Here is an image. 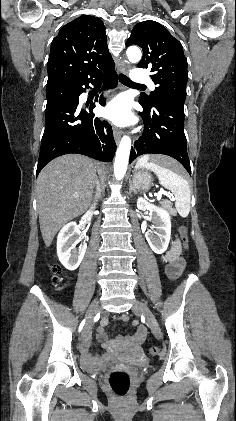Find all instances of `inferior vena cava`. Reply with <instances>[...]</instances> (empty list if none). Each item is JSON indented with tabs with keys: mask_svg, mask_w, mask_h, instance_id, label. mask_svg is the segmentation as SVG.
<instances>
[{
	"mask_svg": "<svg viewBox=\"0 0 236 421\" xmlns=\"http://www.w3.org/2000/svg\"><path fill=\"white\" fill-rule=\"evenodd\" d=\"M98 192H99V180H98V184H96V190H95V194L93 196V200L91 204L92 211H94V208H96V204L98 202V198H99Z\"/></svg>",
	"mask_w": 236,
	"mask_h": 421,
	"instance_id": "1",
	"label": "inferior vena cava"
}]
</instances>
